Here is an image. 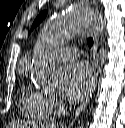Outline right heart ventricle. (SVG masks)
Here are the masks:
<instances>
[{"instance_id":"right-heart-ventricle-1","label":"right heart ventricle","mask_w":125,"mask_h":128,"mask_svg":"<svg viewBox=\"0 0 125 128\" xmlns=\"http://www.w3.org/2000/svg\"><path fill=\"white\" fill-rule=\"evenodd\" d=\"M19 107L23 115L37 120H45L52 115L43 93L28 87L22 89Z\"/></svg>"}]
</instances>
